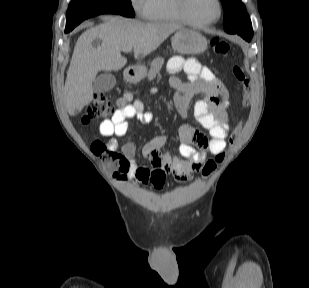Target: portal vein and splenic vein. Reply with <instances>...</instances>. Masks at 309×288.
I'll return each mask as SVG.
<instances>
[{"instance_id":"obj_1","label":"portal vein and splenic vein","mask_w":309,"mask_h":288,"mask_svg":"<svg viewBox=\"0 0 309 288\" xmlns=\"http://www.w3.org/2000/svg\"><path fill=\"white\" fill-rule=\"evenodd\" d=\"M122 51H124V52H130V51H132V47H131V46L124 47V48L122 49Z\"/></svg>"}]
</instances>
